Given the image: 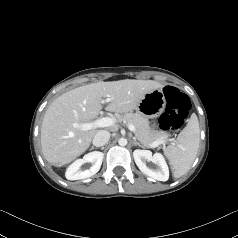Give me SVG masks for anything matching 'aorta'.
I'll list each match as a JSON object with an SVG mask.
<instances>
[{"instance_id": "1", "label": "aorta", "mask_w": 238, "mask_h": 238, "mask_svg": "<svg viewBox=\"0 0 238 238\" xmlns=\"http://www.w3.org/2000/svg\"><path fill=\"white\" fill-rule=\"evenodd\" d=\"M127 143H128V141H127L126 138H120V139L118 140V144H119L120 146H126Z\"/></svg>"}]
</instances>
